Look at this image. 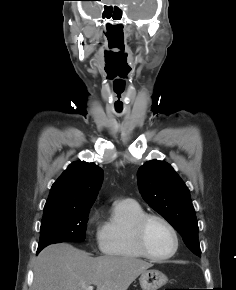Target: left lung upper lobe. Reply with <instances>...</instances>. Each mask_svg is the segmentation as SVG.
Returning a JSON list of instances; mask_svg holds the SVG:
<instances>
[{"label": "left lung upper lobe", "mask_w": 236, "mask_h": 290, "mask_svg": "<svg viewBox=\"0 0 236 290\" xmlns=\"http://www.w3.org/2000/svg\"><path fill=\"white\" fill-rule=\"evenodd\" d=\"M143 199L182 236L186 246L201 257L198 224L187 186L166 162L151 160L138 170Z\"/></svg>", "instance_id": "1"}]
</instances>
